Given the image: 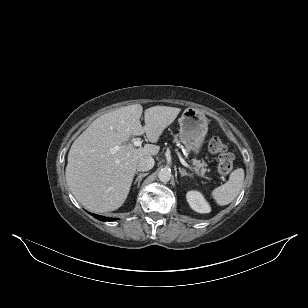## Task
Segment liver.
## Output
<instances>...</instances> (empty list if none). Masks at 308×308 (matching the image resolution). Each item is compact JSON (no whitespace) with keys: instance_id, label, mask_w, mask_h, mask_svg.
Returning a JSON list of instances; mask_svg holds the SVG:
<instances>
[{"instance_id":"liver-1","label":"liver","mask_w":308,"mask_h":308,"mask_svg":"<svg viewBox=\"0 0 308 308\" xmlns=\"http://www.w3.org/2000/svg\"><path fill=\"white\" fill-rule=\"evenodd\" d=\"M180 108L153 106L145 110L133 104L95 119L73 142L66 167V180L74 197L93 212L118 209L125 202L139 160L155 156L160 148L145 144L136 148L131 136L144 133L156 143L165 128L176 119Z\"/></svg>"}]
</instances>
